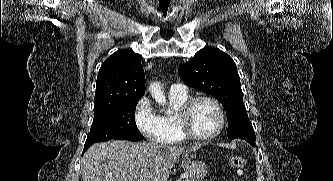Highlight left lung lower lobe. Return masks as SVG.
<instances>
[{
	"instance_id": "0a47b994",
	"label": "left lung lower lobe",
	"mask_w": 333,
	"mask_h": 181,
	"mask_svg": "<svg viewBox=\"0 0 333 181\" xmlns=\"http://www.w3.org/2000/svg\"><path fill=\"white\" fill-rule=\"evenodd\" d=\"M240 139H244V140H246L248 143H250L252 146H256V143H255V140L254 139H252V138H248L247 136H245V135H241L240 137H239Z\"/></svg>"
}]
</instances>
